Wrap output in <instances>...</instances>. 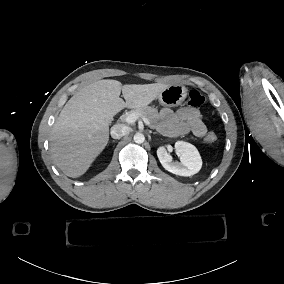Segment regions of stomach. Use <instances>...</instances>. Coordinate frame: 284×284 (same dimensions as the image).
I'll return each instance as SVG.
<instances>
[{
    "label": "stomach",
    "instance_id": "stomach-1",
    "mask_svg": "<svg viewBox=\"0 0 284 284\" xmlns=\"http://www.w3.org/2000/svg\"><path fill=\"white\" fill-rule=\"evenodd\" d=\"M188 97V89L182 84L170 85L159 94V102L166 108L182 105Z\"/></svg>",
    "mask_w": 284,
    "mask_h": 284
}]
</instances>
